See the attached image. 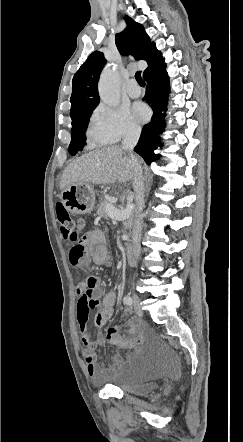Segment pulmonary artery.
Listing matches in <instances>:
<instances>
[{
    "label": "pulmonary artery",
    "instance_id": "obj_1",
    "mask_svg": "<svg viewBox=\"0 0 243 442\" xmlns=\"http://www.w3.org/2000/svg\"><path fill=\"white\" fill-rule=\"evenodd\" d=\"M127 93L132 98H137L141 95V89L137 85L135 79H130L127 83Z\"/></svg>",
    "mask_w": 243,
    "mask_h": 442
}]
</instances>
